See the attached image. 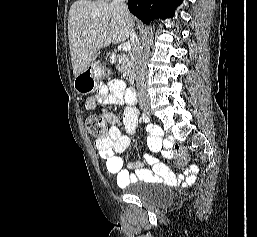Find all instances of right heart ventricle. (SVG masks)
I'll return each instance as SVG.
<instances>
[{
  "instance_id": "e07e8e85",
  "label": "right heart ventricle",
  "mask_w": 257,
  "mask_h": 237,
  "mask_svg": "<svg viewBox=\"0 0 257 237\" xmlns=\"http://www.w3.org/2000/svg\"><path fill=\"white\" fill-rule=\"evenodd\" d=\"M96 1H105V0H96Z\"/></svg>"
}]
</instances>
